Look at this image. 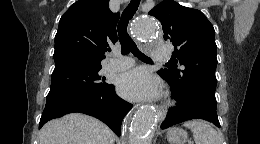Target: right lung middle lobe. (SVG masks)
Wrapping results in <instances>:
<instances>
[{
  "instance_id": "right-lung-middle-lobe-1",
  "label": "right lung middle lobe",
  "mask_w": 260,
  "mask_h": 144,
  "mask_svg": "<svg viewBox=\"0 0 260 144\" xmlns=\"http://www.w3.org/2000/svg\"><path fill=\"white\" fill-rule=\"evenodd\" d=\"M101 65H69L56 69L52 73L50 95L78 92L96 93L106 90L112 84L99 76Z\"/></svg>"
}]
</instances>
